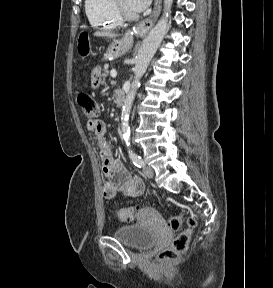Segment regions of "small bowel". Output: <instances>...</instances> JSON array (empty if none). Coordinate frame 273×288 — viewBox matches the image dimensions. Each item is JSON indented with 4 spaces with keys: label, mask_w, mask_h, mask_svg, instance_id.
<instances>
[{
    "label": "small bowel",
    "mask_w": 273,
    "mask_h": 288,
    "mask_svg": "<svg viewBox=\"0 0 273 288\" xmlns=\"http://www.w3.org/2000/svg\"><path fill=\"white\" fill-rule=\"evenodd\" d=\"M86 127L95 133L99 154L102 158V171L105 177L103 196L113 198L116 194L137 197L144 192V183L141 178L132 176L118 159L106 137V127L98 119H89Z\"/></svg>",
    "instance_id": "c3829d8e"
}]
</instances>
